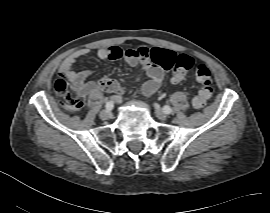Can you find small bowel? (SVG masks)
<instances>
[{"label": "small bowel", "mask_w": 270, "mask_h": 213, "mask_svg": "<svg viewBox=\"0 0 270 213\" xmlns=\"http://www.w3.org/2000/svg\"><path fill=\"white\" fill-rule=\"evenodd\" d=\"M120 47H103L96 50L95 54L98 59H119L113 57V53L116 50H119ZM156 50L168 51L173 55H177L175 52L157 48ZM89 50L86 48L78 49L68 55L59 67V72L61 75V81L67 88L71 86L82 98L90 97L95 91L99 89H104L114 93L122 92L125 87L117 81L111 80L107 77H103L98 82H87L85 72H76L73 68L74 63L80 57L88 55ZM124 61L129 66H136L140 62V58L137 56L125 57ZM145 74L149 77L147 81L144 82L142 86V92L144 95H152L160 86L162 79L165 75L164 69L159 65L155 64H146L144 67ZM140 76H137L135 80H139ZM175 83V82H174Z\"/></svg>", "instance_id": "1"}]
</instances>
